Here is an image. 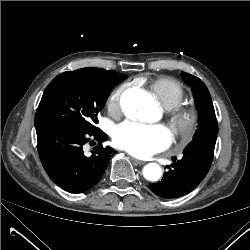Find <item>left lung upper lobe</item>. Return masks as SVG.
Segmentation results:
<instances>
[{"label":"left lung upper lobe","instance_id":"5c2ea615","mask_svg":"<svg viewBox=\"0 0 250 250\" xmlns=\"http://www.w3.org/2000/svg\"><path fill=\"white\" fill-rule=\"evenodd\" d=\"M185 82L191 87L198 111V129L194 139L218 133V124L210 93L205 84L197 77L183 73Z\"/></svg>","mask_w":250,"mask_h":250}]
</instances>
